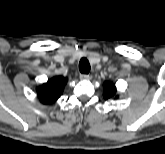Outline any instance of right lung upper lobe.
Instances as JSON below:
<instances>
[{"mask_svg":"<svg viewBox=\"0 0 165 154\" xmlns=\"http://www.w3.org/2000/svg\"><path fill=\"white\" fill-rule=\"evenodd\" d=\"M67 79L61 76L54 77L48 80L47 83L37 88V93L40 101L43 104L54 103L62 94Z\"/></svg>","mask_w":165,"mask_h":154,"instance_id":"right-lung-upper-lobe-1","label":"right lung upper lobe"}]
</instances>
